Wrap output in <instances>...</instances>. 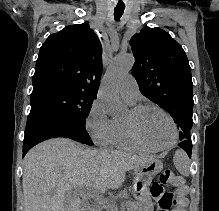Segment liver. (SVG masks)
I'll return each mask as SVG.
<instances>
[{"label":"liver","instance_id":"6515ba94","mask_svg":"<svg viewBox=\"0 0 219 211\" xmlns=\"http://www.w3.org/2000/svg\"><path fill=\"white\" fill-rule=\"evenodd\" d=\"M148 159L124 151L83 149L68 137L46 139L24 157V211H91L105 201L103 189H118L126 171ZM75 187L87 189L94 207L82 203Z\"/></svg>","mask_w":219,"mask_h":211}]
</instances>
